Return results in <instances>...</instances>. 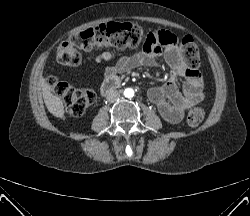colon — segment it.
<instances>
[{
    "label": "colon",
    "mask_w": 250,
    "mask_h": 216,
    "mask_svg": "<svg viewBox=\"0 0 250 216\" xmlns=\"http://www.w3.org/2000/svg\"><path fill=\"white\" fill-rule=\"evenodd\" d=\"M145 35L141 26L130 22H109L76 33L62 42L57 49V59L68 66L78 65L81 50L115 47L119 49L135 48L142 44ZM179 52L184 66L196 70L200 63L199 50L190 36L180 40ZM48 84L64 103L66 112L72 116L82 115L95 101V93L90 89L74 88L57 77L48 78ZM202 106L192 108L187 115L190 126H198L204 119Z\"/></svg>",
    "instance_id": "colon-1"
}]
</instances>
